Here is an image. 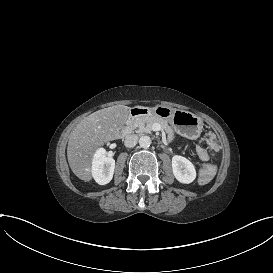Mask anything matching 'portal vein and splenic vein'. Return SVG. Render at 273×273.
<instances>
[{
	"instance_id": "obj_1",
	"label": "portal vein and splenic vein",
	"mask_w": 273,
	"mask_h": 273,
	"mask_svg": "<svg viewBox=\"0 0 273 273\" xmlns=\"http://www.w3.org/2000/svg\"><path fill=\"white\" fill-rule=\"evenodd\" d=\"M154 130H155V131L160 130V125L155 126V127H154Z\"/></svg>"
}]
</instances>
